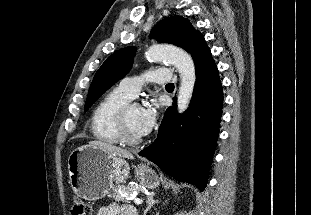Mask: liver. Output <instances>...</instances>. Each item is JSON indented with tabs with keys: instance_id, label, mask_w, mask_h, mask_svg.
Segmentation results:
<instances>
[{
	"instance_id": "6515ba94",
	"label": "liver",
	"mask_w": 311,
	"mask_h": 215,
	"mask_svg": "<svg viewBox=\"0 0 311 215\" xmlns=\"http://www.w3.org/2000/svg\"><path fill=\"white\" fill-rule=\"evenodd\" d=\"M89 146L95 147V148H99L101 150H103L104 152H106L107 154H109L110 156L113 157H119V158H127V159H133V155L127 151L124 150L120 147H117L113 144L107 143V142H103V141H99V140H93L89 142Z\"/></svg>"
}]
</instances>
